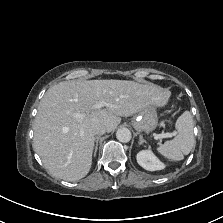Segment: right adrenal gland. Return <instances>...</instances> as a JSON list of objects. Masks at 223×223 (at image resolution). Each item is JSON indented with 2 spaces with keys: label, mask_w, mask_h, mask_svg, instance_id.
Returning <instances> with one entry per match:
<instances>
[{
  "label": "right adrenal gland",
  "mask_w": 223,
  "mask_h": 223,
  "mask_svg": "<svg viewBox=\"0 0 223 223\" xmlns=\"http://www.w3.org/2000/svg\"><path fill=\"white\" fill-rule=\"evenodd\" d=\"M98 140H99V137H96V138H95V142H96V144H95V147H94V156H96V153H97V149H98Z\"/></svg>",
  "instance_id": "2a0ac1e0"
}]
</instances>
